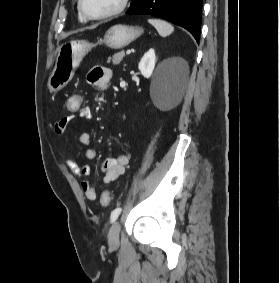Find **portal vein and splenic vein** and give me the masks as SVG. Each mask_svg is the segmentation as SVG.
<instances>
[{"instance_id":"18ae733b","label":"portal vein and splenic vein","mask_w":280,"mask_h":283,"mask_svg":"<svg viewBox=\"0 0 280 283\" xmlns=\"http://www.w3.org/2000/svg\"><path fill=\"white\" fill-rule=\"evenodd\" d=\"M131 53L130 49H127L126 54L129 55Z\"/></svg>"}]
</instances>
